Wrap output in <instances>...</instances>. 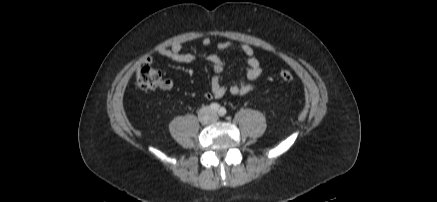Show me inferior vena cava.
Listing matches in <instances>:
<instances>
[{"instance_id":"1","label":"inferior vena cava","mask_w":437,"mask_h":202,"mask_svg":"<svg viewBox=\"0 0 437 202\" xmlns=\"http://www.w3.org/2000/svg\"><path fill=\"white\" fill-rule=\"evenodd\" d=\"M201 114L203 116V119H205L209 115H212V112L210 111V109L208 107H205L204 109L201 110Z\"/></svg>"}]
</instances>
